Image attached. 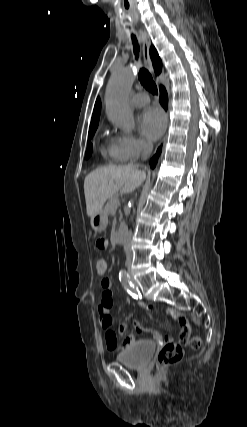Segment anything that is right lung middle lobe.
I'll use <instances>...</instances> for the list:
<instances>
[{"instance_id": "obj_1", "label": "right lung middle lobe", "mask_w": 247, "mask_h": 427, "mask_svg": "<svg viewBox=\"0 0 247 427\" xmlns=\"http://www.w3.org/2000/svg\"><path fill=\"white\" fill-rule=\"evenodd\" d=\"M96 129H97V126H92V127H90V129H89V137H90V138H92V137H93V135H94V133H95ZM92 151H93V145H92V143L88 140V145H87V150H86V158H89V157L91 156Z\"/></svg>"}]
</instances>
